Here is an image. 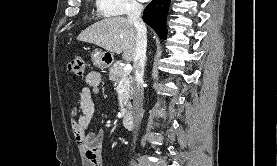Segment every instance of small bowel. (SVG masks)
Listing matches in <instances>:
<instances>
[{"label":"small bowel","instance_id":"1","mask_svg":"<svg viewBox=\"0 0 277 166\" xmlns=\"http://www.w3.org/2000/svg\"><path fill=\"white\" fill-rule=\"evenodd\" d=\"M100 83L101 75L96 71L89 72L80 91L79 113L77 109L72 111L71 129L82 166H102L104 131H87L95 113L93 95L99 92Z\"/></svg>","mask_w":277,"mask_h":166}]
</instances>
